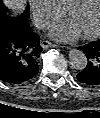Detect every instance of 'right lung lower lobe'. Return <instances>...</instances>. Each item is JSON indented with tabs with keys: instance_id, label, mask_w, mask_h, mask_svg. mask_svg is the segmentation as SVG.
I'll list each match as a JSON object with an SVG mask.
<instances>
[{
	"instance_id": "98d812e1",
	"label": "right lung lower lobe",
	"mask_w": 100,
	"mask_h": 118,
	"mask_svg": "<svg viewBox=\"0 0 100 118\" xmlns=\"http://www.w3.org/2000/svg\"><path fill=\"white\" fill-rule=\"evenodd\" d=\"M21 19L0 26V79L11 84L30 81L39 71L43 50L39 36Z\"/></svg>"
}]
</instances>
